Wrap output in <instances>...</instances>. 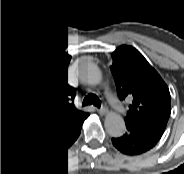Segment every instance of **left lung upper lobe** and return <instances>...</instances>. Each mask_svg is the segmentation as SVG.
I'll return each instance as SVG.
<instances>
[{"label":"left lung upper lobe","instance_id":"5c2ea615","mask_svg":"<svg viewBox=\"0 0 184 174\" xmlns=\"http://www.w3.org/2000/svg\"><path fill=\"white\" fill-rule=\"evenodd\" d=\"M111 72L119 99L129 102L126 126L162 135L170 116L171 100L159 74L130 46H122L113 54Z\"/></svg>","mask_w":184,"mask_h":174}]
</instances>
